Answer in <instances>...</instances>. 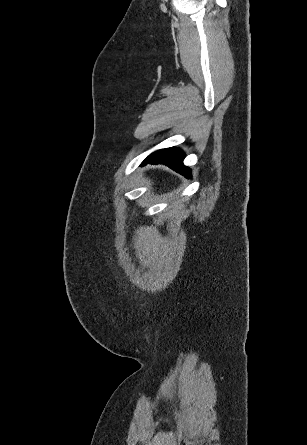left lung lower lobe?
Here are the masks:
<instances>
[{
    "label": "left lung lower lobe",
    "mask_w": 307,
    "mask_h": 445,
    "mask_svg": "<svg viewBox=\"0 0 307 445\" xmlns=\"http://www.w3.org/2000/svg\"><path fill=\"white\" fill-rule=\"evenodd\" d=\"M184 153L177 148H167L155 151L149 155L140 166L149 164H165L176 172L191 178V171L183 165Z\"/></svg>",
    "instance_id": "obj_1"
}]
</instances>
